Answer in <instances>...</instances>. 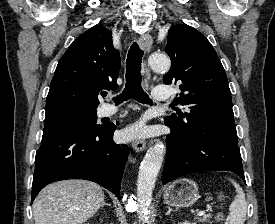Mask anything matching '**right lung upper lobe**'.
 Returning <instances> with one entry per match:
<instances>
[{"instance_id":"cb5924a9","label":"right lung upper lobe","mask_w":275,"mask_h":224,"mask_svg":"<svg viewBox=\"0 0 275 224\" xmlns=\"http://www.w3.org/2000/svg\"><path fill=\"white\" fill-rule=\"evenodd\" d=\"M120 55L112 33L95 25L77 37L58 62L46 101V113L64 107L96 109L103 89L118 87Z\"/></svg>"}]
</instances>
